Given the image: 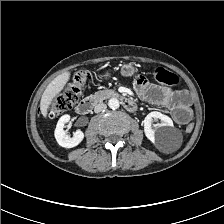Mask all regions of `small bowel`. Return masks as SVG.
I'll return each mask as SVG.
<instances>
[{
  "mask_svg": "<svg viewBox=\"0 0 224 224\" xmlns=\"http://www.w3.org/2000/svg\"><path fill=\"white\" fill-rule=\"evenodd\" d=\"M134 88L144 101L170 109L177 123L187 122L190 115L188 107L192 103V96L188 91L161 87L148 82L143 77L135 78ZM184 112L188 113L187 118L181 117Z\"/></svg>",
  "mask_w": 224,
  "mask_h": 224,
  "instance_id": "small-bowel-1",
  "label": "small bowel"
}]
</instances>
